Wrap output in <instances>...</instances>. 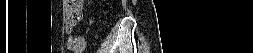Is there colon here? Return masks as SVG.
Segmentation results:
<instances>
[{
  "label": "colon",
  "instance_id": "5ec220e1",
  "mask_svg": "<svg viewBox=\"0 0 253 53\" xmlns=\"http://www.w3.org/2000/svg\"><path fill=\"white\" fill-rule=\"evenodd\" d=\"M79 2L80 1H76V0L67 1L68 3L67 22L73 26H75L82 17L83 10L81 6L79 5Z\"/></svg>",
  "mask_w": 253,
  "mask_h": 53
}]
</instances>
